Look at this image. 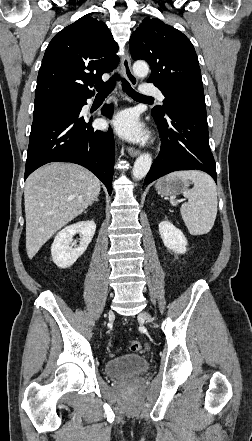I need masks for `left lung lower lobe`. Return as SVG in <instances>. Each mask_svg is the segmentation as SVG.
<instances>
[{
    "label": "left lung lower lobe",
    "mask_w": 252,
    "mask_h": 441,
    "mask_svg": "<svg viewBox=\"0 0 252 441\" xmlns=\"http://www.w3.org/2000/svg\"><path fill=\"white\" fill-rule=\"evenodd\" d=\"M161 136V150L144 184L178 170H202L216 181V167L209 146L206 110L190 103L175 105L165 118L154 117Z\"/></svg>",
    "instance_id": "0a47b994"
}]
</instances>
